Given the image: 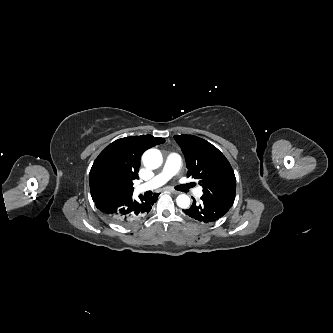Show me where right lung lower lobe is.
Instances as JSON below:
<instances>
[{"label": "right lung lower lobe", "instance_id": "obj_1", "mask_svg": "<svg viewBox=\"0 0 333 333\" xmlns=\"http://www.w3.org/2000/svg\"><path fill=\"white\" fill-rule=\"evenodd\" d=\"M159 194L150 198L139 196L140 202L132 199V193H108L93 198L96 207L112 222L129 226L143 217L151 210Z\"/></svg>", "mask_w": 333, "mask_h": 333}]
</instances>
